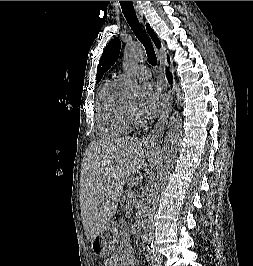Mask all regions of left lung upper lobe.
<instances>
[{
  "instance_id": "obj_1",
  "label": "left lung upper lobe",
  "mask_w": 253,
  "mask_h": 266,
  "mask_svg": "<svg viewBox=\"0 0 253 266\" xmlns=\"http://www.w3.org/2000/svg\"><path fill=\"white\" fill-rule=\"evenodd\" d=\"M121 48L119 38H114L104 49L103 54L99 60L97 67L96 83H99L104 73L114 64L117 60Z\"/></svg>"
}]
</instances>
